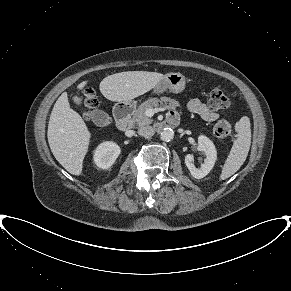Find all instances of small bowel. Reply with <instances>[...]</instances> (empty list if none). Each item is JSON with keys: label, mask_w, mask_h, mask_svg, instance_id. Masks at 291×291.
Wrapping results in <instances>:
<instances>
[{"label": "small bowel", "mask_w": 291, "mask_h": 291, "mask_svg": "<svg viewBox=\"0 0 291 291\" xmlns=\"http://www.w3.org/2000/svg\"><path fill=\"white\" fill-rule=\"evenodd\" d=\"M188 110L191 113L199 115L202 119L208 122L216 121L219 118V114L200 99L190 100L188 103ZM170 117H176L174 111H172Z\"/></svg>", "instance_id": "obj_1"}]
</instances>
